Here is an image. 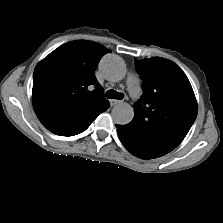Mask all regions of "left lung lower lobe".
Returning a JSON list of instances; mask_svg holds the SVG:
<instances>
[{
    "label": "left lung lower lobe",
    "instance_id": "1",
    "mask_svg": "<svg viewBox=\"0 0 223 223\" xmlns=\"http://www.w3.org/2000/svg\"><path fill=\"white\" fill-rule=\"evenodd\" d=\"M116 127L120 141L131 154L142 159H153L168 153L148 144L137 142L134 133L127 125H116Z\"/></svg>",
    "mask_w": 223,
    "mask_h": 223
}]
</instances>
